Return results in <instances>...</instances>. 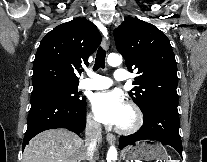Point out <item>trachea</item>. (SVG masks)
Listing matches in <instances>:
<instances>
[{
    "label": "trachea",
    "mask_w": 207,
    "mask_h": 162,
    "mask_svg": "<svg viewBox=\"0 0 207 162\" xmlns=\"http://www.w3.org/2000/svg\"><path fill=\"white\" fill-rule=\"evenodd\" d=\"M105 57H106V51L103 50L102 47H99L96 54L95 65L93 68L94 71H96L99 68L105 67Z\"/></svg>",
    "instance_id": "obj_1"
}]
</instances>
